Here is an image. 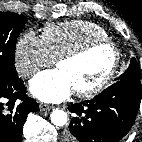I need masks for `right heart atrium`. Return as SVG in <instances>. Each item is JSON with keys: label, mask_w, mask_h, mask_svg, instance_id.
I'll return each instance as SVG.
<instances>
[{"label": "right heart atrium", "mask_w": 142, "mask_h": 142, "mask_svg": "<svg viewBox=\"0 0 142 142\" xmlns=\"http://www.w3.org/2000/svg\"><path fill=\"white\" fill-rule=\"evenodd\" d=\"M14 63L18 74L28 78L40 68L51 66L54 59L42 36L30 31L18 39L15 45Z\"/></svg>", "instance_id": "right-heart-atrium-1"}]
</instances>
